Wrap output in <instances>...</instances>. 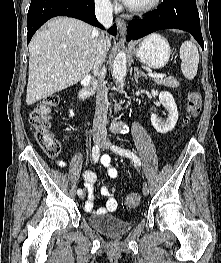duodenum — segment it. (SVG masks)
I'll use <instances>...</instances> for the list:
<instances>
[{
    "mask_svg": "<svg viewBox=\"0 0 221 263\" xmlns=\"http://www.w3.org/2000/svg\"><path fill=\"white\" fill-rule=\"evenodd\" d=\"M92 80L89 78H86L82 82V88L79 92V99L82 102H87L91 95H92V88H91Z\"/></svg>",
    "mask_w": 221,
    "mask_h": 263,
    "instance_id": "410a0bca",
    "label": "duodenum"
}]
</instances>
